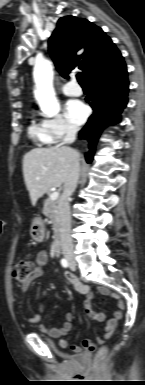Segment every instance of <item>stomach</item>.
<instances>
[{
	"mask_svg": "<svg viewBox=\"0 0 145 385\" xmlns=\"http://www.w3.org/2000/svg\"><path fill=\"white\" fill-rule=\"evenodd\" d=\"M30 235L33 240L41 242L44 239L45 231L43 223L40 219H35L30 228Z\"/></svg>",
	"mask_w": 145,
	"mask_h": 385,
	"instance_id": "1",
	"label": "stomach"
}]
</instances>
